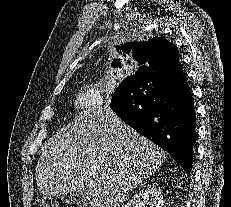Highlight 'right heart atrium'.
I'll list each match as a JSON object with an SVG mask.
<instances>
[{"label": "right heart atrium", "instance_id": "d8ad5b80", "mask_svg": "<svg viewBox=\"0 0 231 207\" xmlns=\"http://www.w3.org/2000/svg\"><path fill=\"white\" fill-rule=\"evenodd\" d=\"M76 111L84 116H93L101 111L105 101L99 91L84 89L79 91L73 100Z\"/></svg>", "mask_w": 231, "mask_h": 207}]
</instances>
